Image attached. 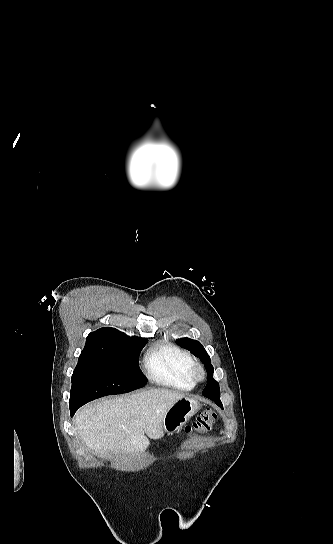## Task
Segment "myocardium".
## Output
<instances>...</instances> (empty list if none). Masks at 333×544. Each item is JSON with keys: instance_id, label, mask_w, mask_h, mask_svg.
I'll return each mask as SVG.
<instances>
[{"instance_id": "obj_1", "label": "myocardium", "mask_w": 333, "mask_h": 544, "mask_svg": "<svg viewBox=\"0 0 333 544\" xmlns=\"http://www.w3.org/2000/svg\"><path fill=\"white\" fill-rule=\"evenodd\" d=\"M205 374V369L200 363H194L190 368V378L194 384L204 380Z\"/></svg>"}]
</instances>
